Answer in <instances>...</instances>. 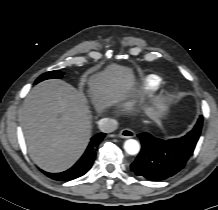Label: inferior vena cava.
<instances>
[{
    "label": "inferior vena cava",
    "mask_w": 218,
    "mask_h": 210,
    "mask_svg": "<svg viewBox=\"0 0 218 210\" xmlns=\"http://www.w3.org/2000/svg\"><path fill=\"white\" fill-rule=\"evenodd\" d=\"M99 129L104 133H110L117 129L118 122L112 118H102L98 122Z\"/></svg>",
    "instance_id": "inferior-vena-cava-1"
}]
</instances>
